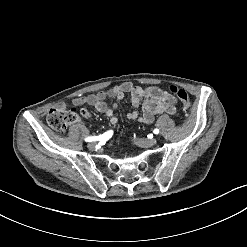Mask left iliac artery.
Here are the masks:
<instances>
[{"instance_id":"44dca946","label":"left iliac artery","mask_w":247,"mask_h":247,"mask_svg":"<svg viewBox=\"0 0 247 247\" xmlns=\"http://www.w3.org/2000/svg\"><path fill=\"white\" fill-rule=\"evenodd\" d=\"M153 133H154V134H158V133H159V129H157V128L154 129V130H153Z\"/></svg>"}]
</instances>
